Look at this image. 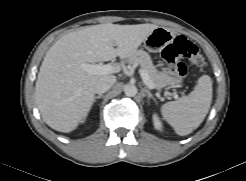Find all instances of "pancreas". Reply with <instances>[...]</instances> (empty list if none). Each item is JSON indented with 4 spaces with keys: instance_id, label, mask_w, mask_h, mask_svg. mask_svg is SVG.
Listing matches in <instances>:
<instances>
[{
    "instance_id": "obj_1",
    "label": "pancreas",
    "mask_w": 246,
    "mask_h": 181,
    "mask_svg": "<svg viewBox=\"0 0 246 181\" xmlns=\"http://www.w3.org/2000/svg\"><path fill=\"white\" fill-rule=\"evenodd\" d=\"M127 62L130 65H139L141 70L149 75L155 89L159 90L167 85H174L178 82V79L170 76L168 73L159 72L153 65L150 55L143 50L136 51L133 56L128 58Z\"/></svg>"
}]
</instances>
